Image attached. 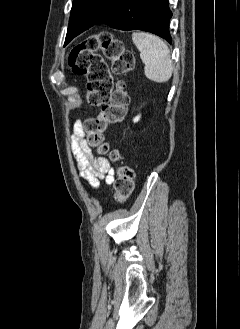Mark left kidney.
I'll return each instance as SVG.
<instances>
[{"label":"left kidney","mask_w":240,"mask_h":329,"mask_svg":"<svg viewBox=\"0 0 240 329\" xmlns=\"http://www.w3.org/2000/svg\"><path fill=\"white\" fill-rule=\"evenodd\" d=\"M139 120H140V115L136 116V117L133 119L134 123L138 122Z\"/></svg>","instance_id":"1"}]
</instances>
